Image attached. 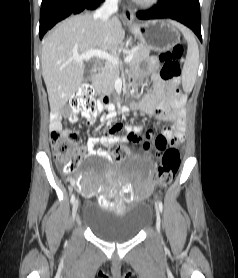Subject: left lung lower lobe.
I'll use <instances>...</instances> for the list:
<instances>
[{
  "mask_svg": "<svg viewBox=\"0 0 238 278\" xmlns=\"http://www.w3.org/2000/svg\"><path fill=\"white\" fill-rule=\"evenodd\" d=\"M137 17L142 20L161 18L177 20L192 29L202 42L199 0H159L152 9L138 11Z\"/></svg>",
  "mask_w": 238,
  "mask_h": 278,
  "instance_id": "0a47b994",
  "label": "left lung lower lobe"
}]
</instances>
